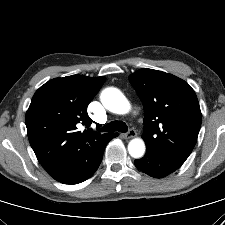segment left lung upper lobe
Instances as JSON below:
<instances>
[{"label":"left lung upper lobe","instance_id":"left-lung-upper-lobe-1","mask_svg":"<svg viewBox=\"0 0 225 225\" xmlns=\"http://www.w3.org/2000/svg\"><path fill=\"white\" fill-rule=\"evenodd\" d=\"M144 106L146 148L181 163L191 154L202 114L194 90L180 78L143 68L129 76Z\"/></svg>","mask_w":225,"mask_h":225}]
</instances>
